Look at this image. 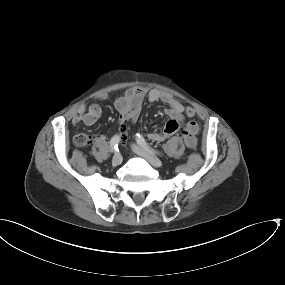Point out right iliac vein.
<instances>
[{
	"label": "right iliac vein",
	"mask_w": 285,
	"mask_h": 285,
	"mask_svg": "<svg viewBox=\"0 0 285 285\" xmlns=\"http://www.w3.org/2000/svg\"><path fill=\"white\" fill-rule=\"evenodd\" d=\"M122 160H123V158H122L121 154L116 153L112 158V164L114 166L120 165L122 163Z\"/></svg>",
	"instance_id": "right-iliac-vein-1"
}]
</instances>
